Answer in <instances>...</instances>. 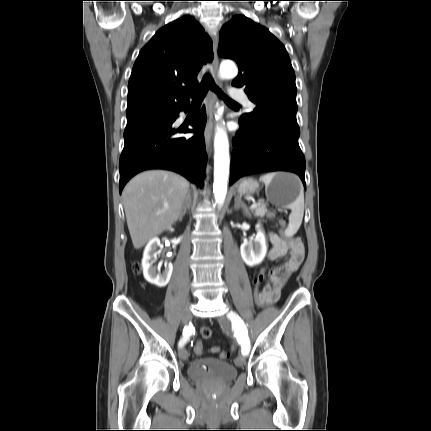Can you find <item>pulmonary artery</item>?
Listing matches in <instances>:
<instances>
[{"label":"pulmonary artery","mask_w":431,"mask_h":431,"mask_svg":"<svg viewBox=\"0 0 431 431\" xmlns=\"http://www.w3.org/2000/svg\"><path fill=\"white\" fill-rule=\"evenodd\" d=\"M229 94L234 101L241 102L250 109L254 107L242 90L232 87L229 90Z\"/></svg>","instance_id":"1"}]
</instances>
